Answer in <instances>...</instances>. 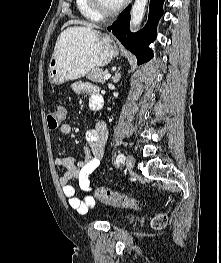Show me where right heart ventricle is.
Masks as SVG:
<instances>
[{
    "label": "right heart ventricle",
    "mask_w": 221,
    "mask_h": 263,
    "mask_svg": "<svg viewBox=\"0 0 221 263\" xmlns=\"http://www.w3.org/2000/svg\"><path fill=\"white\" fill-rule=\"evenodd\" d=\"M76 6L80 14L86 19L91 21H100L102 19L90 9L86 0H76Z\"/></svg>",
    "instance_id": "e07e8e85"
}]
</instances>
